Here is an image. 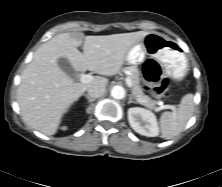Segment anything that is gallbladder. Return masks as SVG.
I'll return each instance as SVG.
<instances>
[{
	"label": "gallbladder",
	"mask_w": 222,
	"mask_h": 187,
	"mask_svg": "<svg viewBox=\"0 0 222 187\" xmlns=\"http://www.w3.org/2000/svg\"><path fill=\"white\" fill-rule=\"evenodd\" d=\"M57 62H58V65L60 66V68L67 75H69L71 78H75L76 77V71L73 69L72 65L70 64V62L66 58H59L57 60Z\"/></svg>",
	"instance_id": "obj_1"
}]
</instances>
